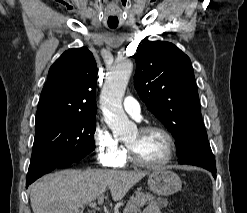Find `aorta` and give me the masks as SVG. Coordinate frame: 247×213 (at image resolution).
<instances>
[{
	"label": "aorta",
	"mask_w": 247,
	"mask_h": 213,
	"mask_svg": "<svg viewBox=\"0 0 247 213\" xmlns=\"http://www.w3.org/2000/svg\"><path fill=\"white\" fill-rule=\"evenodd\" d=\"M132 70L133 65L130 60L117 63L109 72L100 94L105 122L115 136L128 135L136 128L122 107V99Z\"/></svg>",
	"instance_id": "aorta-1"
}]
</instances>
